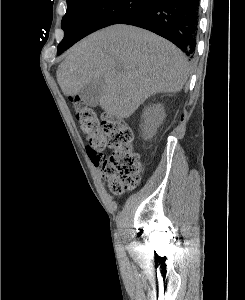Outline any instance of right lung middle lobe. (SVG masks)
<instances>
[{
    "label": "right lung middle lobe",
    "mask_w": 245,
    "mask_h": 300,
    "mask_svg": "<svg viewBox=\"0 0 245 300\" xmlns=\"http://www.w3.org/2000/svg\"><path fill=\"white\" fill-rule=\"evenodd\" d=\"M152 0H67L61 27L64 38L58 55L88 34L113 25L135 13Z\"/></svg>",
    "instance_id": "right-lung-middle-lobe-1"
}]
</instances>
